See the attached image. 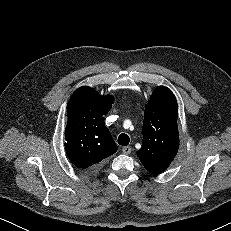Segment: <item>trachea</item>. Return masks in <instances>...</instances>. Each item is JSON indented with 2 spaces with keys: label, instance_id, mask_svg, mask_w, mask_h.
Listing matches in <instances>:
<instances>
[{
  "label": "trachea",
  "instance_id": "obj_1",
  "mask_svg": "<svg viewBox=\"0 0 231 231\" xmlns=\"http://www.w3.org/2000/svg\"><path fill=\"white\" fill-rule=\"evenodd\" d=\"M130 138L127 134L122 133L118 137V144L121 146H127L129 144Z\"/></svg>",
  "mask_w": 231,
  "mask_h": 231
}]
</instances>
